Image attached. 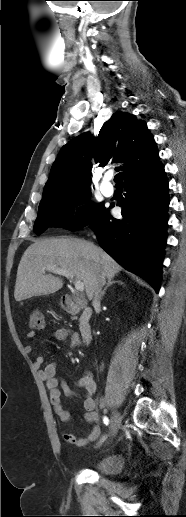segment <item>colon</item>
Segmentation results:
<instances>
[{
    "label": "colon",
    "instance_id": "obj_1",
    "mask_svg": "<svg viewBox=\"0 0 186 517\" xmlns=\"http://www.w3.org/2000/svg\"><path fill=\"white\" fill-rule=\"evenodd\" d=\"M29 326L34 330H41L45 326L44 314L42 311L35 309L30 313Z\"/></svg>",
    "mask_w": 186,
    "mask_h": 517
}]
</instances>
